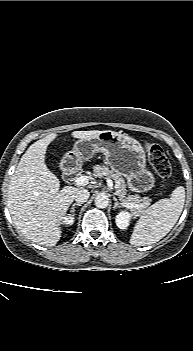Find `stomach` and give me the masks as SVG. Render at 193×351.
Listing matches in <instances>:
<instances>
[{
  "instance_id": "stomach-1",
  "label": "stomach",
  "mask_w": 193,
  "mask_h": 351,
  "mask_svg": "<svg viewBox=\"0 0 193 351\" xmlns=\"http://www.w3.org/2000/svg\"><path fill=\"white\" fill-rule=\"evenodd\" d=\"M98 151L104 154L105 163L111 170L127 178L130 190L144 193L154 187L155 177L146 167L143 146L125 133L107 130L89 140L79 139L73 150L64 155L62 163L79 165Z\"/></svg>"
}]
</instances>
